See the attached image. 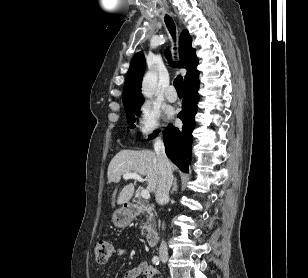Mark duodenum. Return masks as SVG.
I'll use <instances>...</instances> for the list:
<instances>
[{"label": "duodenum", "instance_id": "obj_1", "mask_svg": "<svg viewBox=\"0 0 308 278\" xmlns=\"http://www.w3.org/2000/svg\"><path fill=\"white\" fill-rule=\"evenodd\" d=\"M143 208H145L146 210H152V206H140L136 203L129 202L125 204L124 212L127 217L132 218L136 216ZM146 239L149 245H155L159 239L158 231L156 229H151L148 232Z\"/></svg>", "mask_w": 308, "mask_h": 278}]
</instances>
